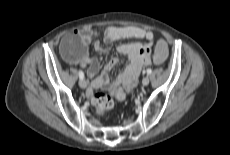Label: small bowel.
<instances>
[{
  "instance_id": "small-bowel-1",
  "label": "small bowel",
  "mask_w": 230,
  "mask_h": 155,
  "mask_svg": "<svg viewBox=\"0 0 230 155\" xmlns=\"http://www.w3.org/2000/svg\"><path fill=\"white\" fill-rule=\"evenodd\" d=\"M97 37L98 32L95 30H79L68 35L61 45V53L65 60L81 67L88 66L87 75L91 78L98 74L100 60L98 58H90L87 54V47L93 44L97 52L101 54L105 52ZM74 39H79L81 42L80 53H76L71 46V42ZM127 39H143L146 42L122 43L117 47V51L120 54L128 57V65L122 73L110 81L109 72L118 64L116 57L111 58L100 74L92 80L87 89V96L92 98V101L94 98L93 91L101 88H109L113 92L119 91L121 93L120 100H123L126 92H130L135 87L142 68L152 63L151 44L154 40L152 32L134 26H110L103 33V41L106 44Z\"/></svg>"
}]
</instances>
